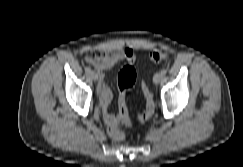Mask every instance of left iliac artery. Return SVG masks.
<instances>
[{"label": "left iliac artery", "mask_w": 243, "mask_h": 167, "mask_svg": "<svg viewBox=\"0 0 243 167\" xmlns=\"http://www.w3.org/2000/svg\"><path fill=\"white\" fill-rule=\"evenodd\" d=\"M161 73H162L163 75H165V74L167 73V70H166V69H162V70H161Z\"/></svg>", "instance_id": "obj_1"}]
</instances>
